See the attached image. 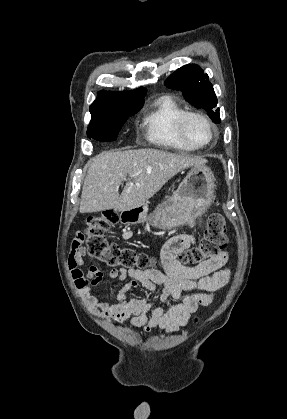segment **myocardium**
Wrapping results in <instances>:
<instances>
[{
  "label": "myocardium",
  "mask_w": 287,
  "mask_h": 419,
  "mask_svg": "<svg viewBox=\"0 0 287 419\" xmlns=\"http://www.w3.org/2000/svg\"><path fill=\"white\" fill-rule=\"evenodd\" d=\"M196 118L203 121L210 131V139L205 143H194L192 142L186 133V125L187 122L192 119ZM177 131L181 139L189 146L200 149L209 146L216 140V129L213 123L209 120L207 116L200 112L195 111H185L177 120Z\"/></svg>",
  "instance_id": "obj_1"
}]
</instances>
